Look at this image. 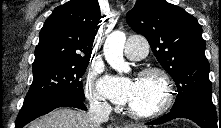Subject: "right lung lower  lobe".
I'll use <instances>...</instances> for the list:
<instances>
[{
	"label": "right lung lower lobe",
	"mask_w": 221,
	"mask_h": 128,
	"mask_svg": "<svg viewBox=\"0 0 221 128\" xmlns=\"http://www.w3.org/2000/svg\"><path fill=\"white\" fill-rule=\"evenodd\" d=\"M83 101L67 94H56L24 103L17 116L15 128H22L37 117L47 114L58 107H75L87 110Z\"/></svg>",
	"instance_id": "obj_1"
}]
</instances>
